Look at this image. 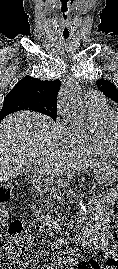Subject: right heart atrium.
<instances>
[{
  "label": "right heart atrium",
  "instance_id": "obj_1",
  "mask_svg": "<svg viewBox=\"0 0 118 269\" xmlns=\"http://www.w3.org/2000/svg\"><path fill=\"white\" fill-rule=\"evenodd\" d=\"M60 125L64 131L68 143L76 147L80 146L88 135L76 123L66 116H61Z\"/></svg>",
  "mask_w": 118,
  "mask_h": 269
}]
</instances>
